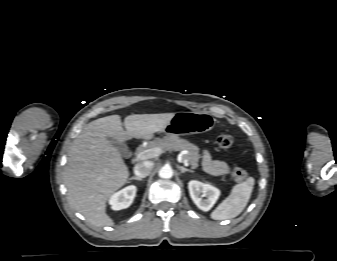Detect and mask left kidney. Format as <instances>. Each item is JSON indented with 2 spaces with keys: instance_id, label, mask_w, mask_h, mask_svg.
Listing matches in <instances>:
<instances>
[{
  "instance_id": "1",
  "label": "left kidney",
  "mask_w": 337,
  "mask_h": 261,
  "mask_svg": "<svg viewBox=\"0 0 337 261\" xmlns=\"http://www.w3.org/2000/svg\"><path fill=\"white\" fill-rule=\"evenodd\" d=\"M188 189L193 202L203 211H209L220 196L218 188L196 180L188 183Z\"/></svg>"
}]
</instances>
